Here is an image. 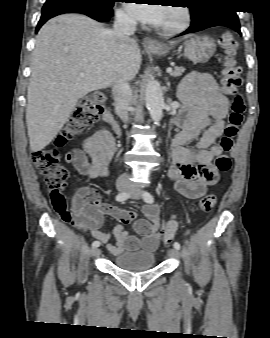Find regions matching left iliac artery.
<instances>
[{
    "mask_svg": "<svg viewBox=\"0 0 270 338\" xmlns=\"http://www.w3.org/2000/svg\"><path fill=\"white\" fill-rule=\"evenodd\" d=\"M143 199L146 203H153L154 202V197L149 192H144ZM173 247L176 250H179L181 246H180V243L174 242Z\"/></svg>",
    "mask_w": 270,
    "mask_h": 338,
    "instance_id": "1",
    "label": "left iliac artery"
}]
</instances>
